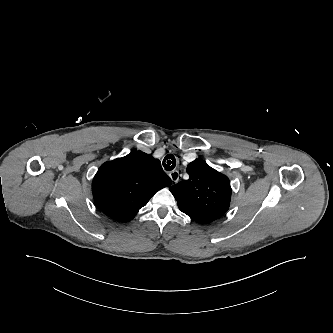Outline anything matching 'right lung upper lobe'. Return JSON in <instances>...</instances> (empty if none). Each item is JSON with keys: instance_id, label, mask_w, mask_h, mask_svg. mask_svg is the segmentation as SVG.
Here are the masks:
<instances>
[{"instance_id": "right-lung-upper-lobe-1", "label": "right lung upper lobe", "mask_w": 333, "mask_h": 333, "mask_svg": "<svg viewBox=\"0 0 333 333\" xmlns=\"http://www.w3.org/2000/svg\"><path fill=\"white\" fill-rule=\"evenodd\" d=\"M171 183L158 159L134 150L100 166L92 193L96 206L107 216L128 222L158 190Z\"/></svg>"}]
</instances>
